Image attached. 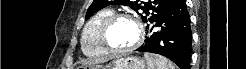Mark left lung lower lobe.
Segmentation results:
<instances>
[{
	"label": "left lung lower lobe",
	"instance_id": "0a47b994",
	"mask_svg": "<svg viewBox=\"0 0 246 69\" xmlns=\"http://www.w3.org/2000/svg\"><path fill=\"white\" fill-rule=\"evenodd\" d=\"M147 29L145 42L136 51L160 54L181 69H190L192 33L185 0H174Z\"/></svg>",
	"mask_w": 246,
	"mask_h": 69
}]
</instances>
